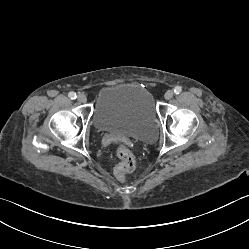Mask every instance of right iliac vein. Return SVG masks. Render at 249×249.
Masks as SVG:
<instances>
[{"label":"right iliac vein","mask_w":249,"mask_h":249,"mask_svg":"<svg viewBox=\"0 0 249 249\" xmlns=\"http://www.w3.org/2000/svg\"><path fill=\"white\" fill-rule=\"evenodd\" d=\"M77 100L81 103H85L87 101V97L84 94H79Z\"/></svg>","instance_id":"obj_1"}]
</instances>
